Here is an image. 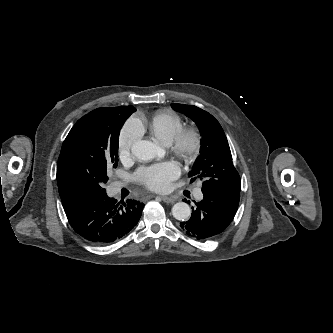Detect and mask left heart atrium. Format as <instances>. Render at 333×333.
I'll list each match as a JSON object with an SVG mask.
<instances>
[{
	"label": "left heart atrium",
	"mask_w": 333,
	"mask_h": 333,
	"mask_svg": "<svg viewBox=\"0 0 333 333\" xmlns=\"http://www.w3.org/2000/svg\"><path fill=\"white\" fill-rule=\"evenodd\" d=\"M179 167L174 162H162L137 170L136 179L148 189L164 191L170 187L171 182L178 177Z\"/></svg>",
	"instance_id": "obj_1"
}]
</instances>
